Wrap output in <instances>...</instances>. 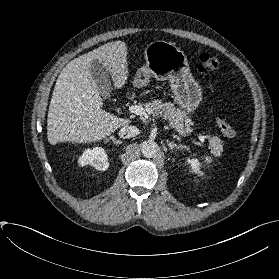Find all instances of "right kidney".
<instances>
[{
    "label": "right kidney",
    "mask_w": 279,
    "mask_h": 279,
    "mask_svg": "<svg viewBox=\"0 0 279 279\" xmlns=\"http://www.w3.org/2000/svg\"><path fill=\"white\" fill-rule=\"evenodd\" d=\"M80 166L90 165L96 170L105 171L109 167L107 154L102 147L87 148L78 159Z\"/></svg>",
    "instance_id": "1"
}]
</instances>
